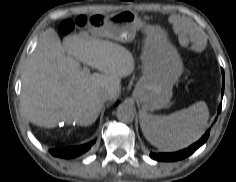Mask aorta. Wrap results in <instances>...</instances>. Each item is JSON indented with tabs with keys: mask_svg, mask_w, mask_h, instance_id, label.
Instances as JSON below:
<instances>
[{
	"mask_svg": "<svg viewBox=\"0 0 236 182\" xmlns=\"http://www.w3.org/2000/svg\"><path fill=\"white\" fill-rule=\"evenodd\" d=\"M117 118L123 123H131L134 120V110L127 104H121L117 108Z\"/></svg>",
	"mask_w": 236,
	"mask_h": 182,
	"instance_id": "aorta-1",
	"label": "aorta"
}]
</instances>
